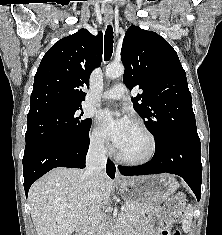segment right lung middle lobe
Listing matches in <instances>:
<instances>
[{
  "mask_svg": "<svg viewBox=\"0 0 222 235\" xmlns=\"http://www.w3.org/2000/svg\"><path fill=\"white\" fill-rule=\"evenodd\" d=\"M81 105L57 106L28 116L25 152L50 142L84 143L92 120L82 118Z\"/></svg>",
  "mask_w": 222,
  "mask_h": 235,
  "instance_id": "dd1d6c3e",
  "label": "right lung middle lobe"
}]
</instances>
